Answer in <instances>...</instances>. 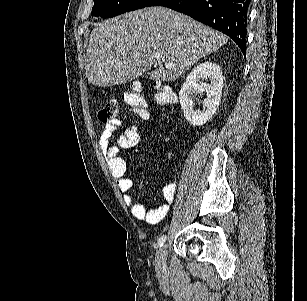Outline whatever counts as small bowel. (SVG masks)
Segmentation results:
<instances>
[{
  "mask_svg": "<svg viewBox=\"0 0 307 301\" xmlns=\"http://www.w3.org/2000/svg\"><path fill=\"white\" fill-rule=\"evenodd\" d=\"M120 126L121 122L119 120L105 124L99 138V146L106 157L110 172L123 194L124 202L130 208L132 215L149 224H157L166 216L171 206L176 192V182L173 176H169V182L162 190V203L159 207L151 209L142 203L136 202L130 194L133 183L127 177L126 162L118 156V151L120 148L131 149L135 147L140 141L142 128L138 125H131L116 138L115 143H112L113 134Z\"/></svg>",
  "mask_w": 307,
  "mask_h": 301,
  "instance_id": "small-bowel-1",
  "label": "small bowel"
}]
</instances>
